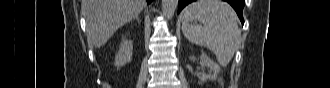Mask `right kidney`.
I'll return each mask as SVG.
<instances>
[{"instance_id":"right-kidney-1","label":"right kidney","mask_w":330,"mask_h":88,"mask_svg":"<svg viewBox=\"0 0 330 88\" xmlns=\"http://www.w3.org/2000/svg\"><path fill=\"white\" fill-rule=\"evenodd\" d=\"M133 52V44L131 40H123L120 44L118 53L115 56L114 64L116 67H121L131 61Z\"/></svg>"}]
</instances>
